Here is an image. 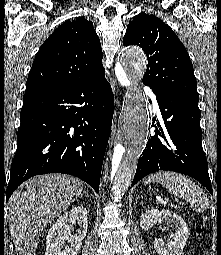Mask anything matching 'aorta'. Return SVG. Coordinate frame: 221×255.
<instances>
[{"label":"aorta","mask_w":221,"mask_h":255,"mask_svg":"<svg viewBox=\"0 0 221 255\" xmlns=\"http://www.w3.org/2000/svg\"><path fill=\"white\" fill-rule=\"evenodd\" d=\"M123 69L117 72L122 85L142 80L146 69V57L136 47L126 48L120 60ZM147 100L141 90L133 89L128 96L123 117L124 140L118 143L112 159L110 182L112 197L119 201L129 187L149 134Z\"/></svg>","instance_id":"aorta-1"}]
</instances>
